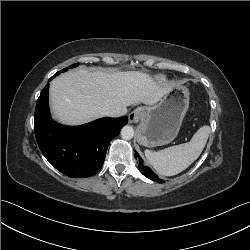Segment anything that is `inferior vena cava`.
Here are the masks:
<instances>
[{"mask_svg": "<svg viewBox=\"0 0 250 250\" xmlns=\"http://www.w3.org/2000/svg\"><path fill=\"white\" fill-rule=\"evenodd\" d=\"M105 115L109 116V117H120V116H122V114L119 111H116V110L108 111V112L105 113Z\"/></svg>", "mask_w": 250, "mask_h": 250, "instance_id": "obj_1", "label": "inferior vena cava"}]
</instances>
